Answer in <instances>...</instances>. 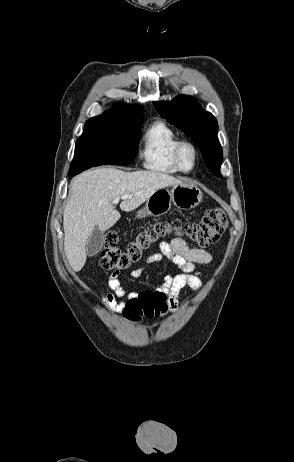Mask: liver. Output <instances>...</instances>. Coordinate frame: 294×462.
<instances>
[{
	"instance_id": "6515ba94",
	"label": "liver",
	"mask_w": 294,
	"mask_h": 462,
	"mask_svg": "<svg viewBox=\"0 0 294 462\" xmlns=\"http://www.w3.org/2000/svg\"><path fill=\"white\" fill-rule=\"evenodd\" d=\"M182 183L157 171L125 172L111 167L89 170L70 185V198L64 209V250L72 269L80 271L86 262V243L94 228H111L121 217L113 201L123 195L122 211L130 212L157 190Z\"/></svg>"
}]
</instances>
